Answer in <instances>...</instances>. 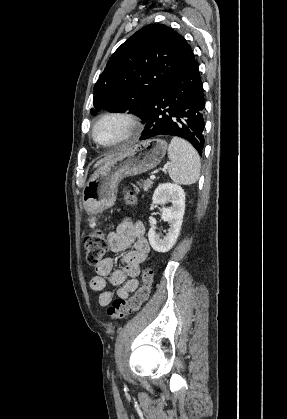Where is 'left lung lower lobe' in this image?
Wrapping results in <instances>:
<instances>
[{
    "mask_svg": "<svg viewBox=\"0 0 287 419\" xmlns=\"http://www.w3.org/2000/svg\"><path fill=\"white\" fill-rule=\"evenodd\" d=\"M204 105L202 81L195 61L151 99L140 140L158 135L181 137L202 154Z\"/></svg>",
    "mask_w": 287,
    "mask_h": 419,
    "instance_id": "obj_1",
    "label": "left lung lower lobe"
}]
</instances>
